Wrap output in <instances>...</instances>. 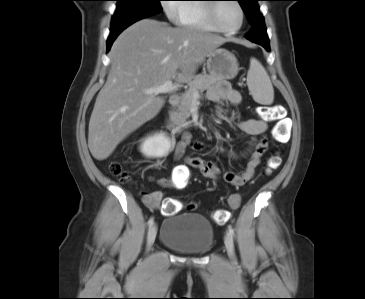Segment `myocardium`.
Returning <instances> with one entry per match:
<instances>
[{"instance_id":"myocardium-1","label":"myocardium","mask_w":365,"mask_h":299,"mask_svg":"<svg viewBox=\"0 0 365 299\" xmlns=\"http://www.w3.org/2000/svg\"><path fill=\"white\" fill-rule=\"evenodd\" d=\"M212 1L213 2H210L209 4H207V19H208L209 23L211 24V26L213 27L214 31H216L218 33H222V34H235V33L239 32L242 29V27L244 26V23L246 20L245 10H244L242 4L239 2V0H233V2L239 8L240 14H241V22H240L239 26L235 29H225L218 25L216 13H217V9H218L219 5L221 4V2H219L220 0H212Z\"/></svg>"}]
</instances>
